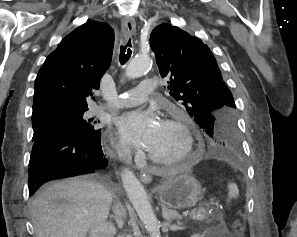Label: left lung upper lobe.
Instances as JSON below:
<instances>
[{"label": "left lung upper lobe", "mask_w": 297, "mask_h": 237, "mask_svg": "<svg viewBox=\"0 0 297 237\" xmlns=\"http://www.w3.org/2000/svg\"><path fill=\"white\" fill-rule=\"evenodd\" d=\"M150 45L170 94L212 138L208 145H217L227 157L239 154L235 102L208 46L165 23L153 29Z\"/></svg>", "instance_id": "5c2ea615"}]
</instances>
